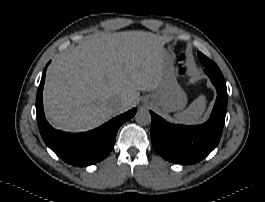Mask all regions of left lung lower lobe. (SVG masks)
Here are the masks:
<instances>
[{
	"instance_id": "1",
	"label": "left lung lower lobe",
	"mask_w": 265,
	"mask_h": 202,
	"mask_svg": "<svg viewBox=\"0 0 265 202\" xmlns=\"http://www.w3.org/2000/svg\"><path fill=\"white\" fill-rule=\"evenodd\" d=\"M205 72L217 89V99L210 119L203 125H171L151 112V140L154 149L173 163L193 164L207 156L219 143L227 110V89L217 65L198 53Z\"/></svg>"
}]
</instances>
